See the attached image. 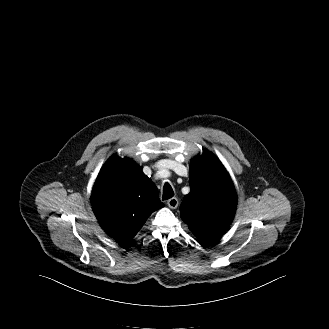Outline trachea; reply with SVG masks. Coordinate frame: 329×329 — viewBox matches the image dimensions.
Listing matches in <instances>:
<instances>
[{"mask_svg": "<svg viewBox=\"0 0 329 329\" xmlns=\"http://www.w3.org/2000/svg\"><path fill=\"white\" fill-rule=\"evenodd\" d=\"M174 196V192L169 183H165L163 187V200H168Z\"/></svg>", "mask_w": 329, "mask_h": 329, "instance_id": "obj_1", "label": "trachea"}]
</instances>
